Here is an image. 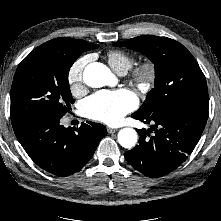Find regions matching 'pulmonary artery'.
Masks as SVG:
<instances>
[{"mask_svg": "<svg viewBox=\"0 0 221 221\" xmlns=\"http://www.w3.org/2000/svg\"><path fill=\"white\" fill-rule=\"evenodd\" d=\"M120 74H125V72H120Z\"/></svg>", "mask_w": 221, "mask_h": 221, "instance_id": "obj_1", "label": "pulmonary artery"}]
</instances>
